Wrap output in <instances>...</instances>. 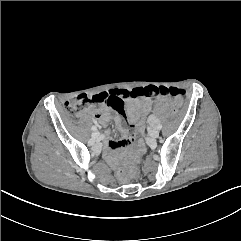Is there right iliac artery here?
Segmentation results:
<instances>
[{"label": "right iliac artery", "instance_id": "obj_1", "mask_svg": "<svg viewBox=\"0 0 241 241\" xmlns=\"http://www.w3.org/2000/svg\"><path fill=\"white\" fill-rule=\"evenodd\" d=\"M91 129H92L93 131H96V130H97V127H96V126H92Z\"/></svg>", "mask_w": 241, "mask_h": 241}]
</instances>
